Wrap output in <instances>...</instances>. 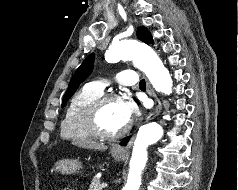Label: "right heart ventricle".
<instances>
[{
    "instance_id": "e07e8e85",
    "label": "right heart ventricle",
    "mask_w": 238,
    "mask_h": 190,
    "mask_svg": "<svg viewBox=\"0 0 238 190\" xmlns=\"http://www.w3.org/2000/svg\"><path fill=\"white\" fill-rule=\"evenodd\" d=\"M101 93L85 86L70 100L61 123V135L68 140L86 141L94 138L83 124V113Z\"/></svg>"
}]
</instances>
